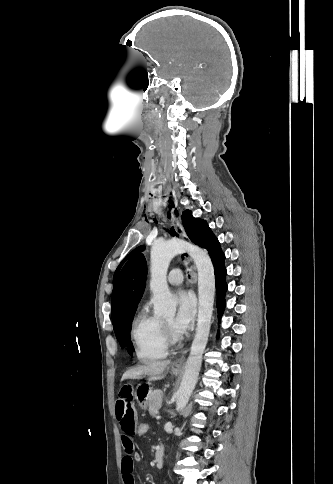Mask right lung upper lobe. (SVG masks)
<instances>
[{
  "label": "right lung upper lobe",
  "instance_id": "obj_1",
  "mask_svg": "<svg viewBox=\"0 0 333 484\" xmlns=\"http://www.w3.org/2000/svg\"><path fill=\"white\" fill-rule=\"evenodd\" d=\"M146 260L142 254L131 258L122 269L112 293L114 331L134 314L146 286Z\"/></svg>",
  "mask_w": 333,
  "mask_h": 484
}]
</instances>
